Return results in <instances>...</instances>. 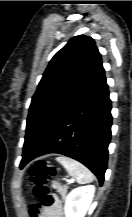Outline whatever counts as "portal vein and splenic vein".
<instances>
[{
  "instance_id": "1",
  "label": "portal vein and splenic vein",
  "mask_w": 132,
  "mask_h": 217,
  "mask_svg": "<svg viewBox=\"0 0 132 217\" xmlns=\"http://www.w3.org/2000/svg\"><path fill=\"white\" fill-rule=\"evenodd\" d=\"M66 182H71L69 179H65Z\"/></svg>"
}]
</instances>
